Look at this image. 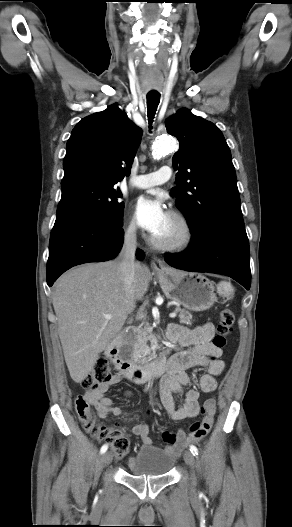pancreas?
Returning <instances> with one entry per match:
<instances>
[{
    "instance_id": "pancreas-1",
    "label": "pancreas",
    "mask_w": 292,
    "mask_h": 527,
    "mask_svg": "<svg viewBox=\"0 0 292 527\" xmlns=\"http://www.w3.org/2000/svg\"><path fill=\"white\" fill-rule=\"evenodd\" d=\"M175 312L178 313L180 323L190 325L191 314L189 311L181 308H176ZM148 340H154L152 335V328L149 326L135 327L129 334V341L135 348H141L146 344Z\"/></svg>"
}]
</instances>
